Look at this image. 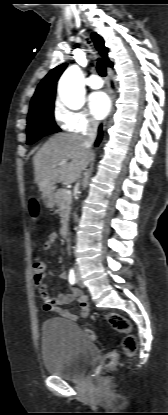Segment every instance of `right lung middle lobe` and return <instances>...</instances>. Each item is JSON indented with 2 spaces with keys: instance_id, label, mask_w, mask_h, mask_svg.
<instances>
[{
  "instance_id": "right-lung-middle-lobe-1",
  "label": "right lung middle lobe",
  "mask_w": 168,
  "mask_h": 415,
  "mask_svg": "<svg viewBox=\"0 0 168 415\" xmlns=\"http://www.w3.org/2000/svg\"><path fill=\"white\" fill-rule=\"evenodd\" d=\"M54 103L30 111L27 122V144H33L45 135L59 132L54 121Z\"/></svg>"
}]
</instances>
